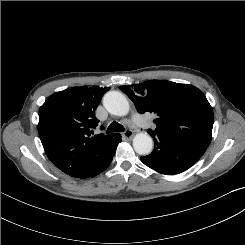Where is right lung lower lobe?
Segmentation results:
<instances>
[{
	"instance_id": "right-lung-lower-lobe-1",
	"label": "right lung lower lobe",
	"mask_w": 245,
	"mask_h": 245,
	"mask_svg": "<svg viewBox=\"0 0 245 245\" xmlns=\"http://www.w3.org/2000/svg\"><path fill=\"white\" fill-rule=\"evenodd\" d=\"M119 142H121V136L120 134H118L115 138V141H114V144H113V148H112V151L109 153L107 159L105 160L103 166L101 167V169L97 172V174L101 173L102 171H104L111 163L112 161V158L116 152V148H117V145L119 144ZM96 174V175H97Z\"/></svg>"
}]
</instances>
